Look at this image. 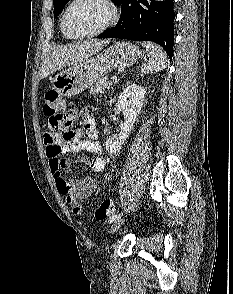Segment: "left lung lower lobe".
<instances>
[{"instance_id": "left-lung-lower-lobe-1", "label": "left lung lower lobe", "mask_w": 233, "mask_h": 294, "mask_svg": "<svg viewBox=\"0 0 233 294\" xmlns=\"http://www.w3.org/2000/svg\"><path fill=\"white\" fill-rule=\"evenodd\" d=\"M117 25L98 38L153 41L161 45L172 59L175 18L173 0H121Z\"/></svg>"}]
</instances>
